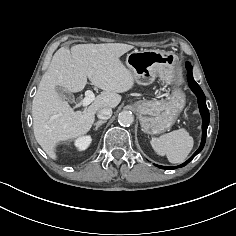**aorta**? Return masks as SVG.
<instances>
[{
    "mask_svg": "<svg viewBox=\"0 0 236 236\" xmlns=\"http://www.w3.org/2000/svg\"><path fill=\"white\" fill-rule=\"evenodd\" d=\"M118 122L122 126H130L134 122V116L131 111H122L118 115Z\"/></svg>",
    "mask_w": 236,
    "mask_h": 236,
    "instance_id": "aorta-1",
    "label": "aorta"
}]
</instances>
